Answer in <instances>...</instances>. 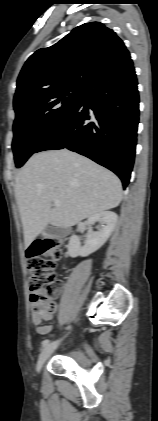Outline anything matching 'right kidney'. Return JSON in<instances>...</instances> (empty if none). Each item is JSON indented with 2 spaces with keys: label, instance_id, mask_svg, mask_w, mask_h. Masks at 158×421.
<instances>
[{
  "label": "right kidney",
  "instance_id": "ca27d5eb",
  "mask_svg": "<svg viewBox=\"0 0 158 421\" xmlns=\"http://www.w3.org/2000/svg\"><path fill=\"white\" fill-rule=\"evenodd\" d=\"M117 214L111 211H104L88 218L89 225L87 238L84 246H81L80 240L76 235L71 236L68 244V254L70 257L88 256L97 251L111 236L117 223ZM98 222L100 226L98 231H92L91 225Z\"/></svg>",
  "mask_w": 158,
  "mask_h": 421
}]
</instances>
